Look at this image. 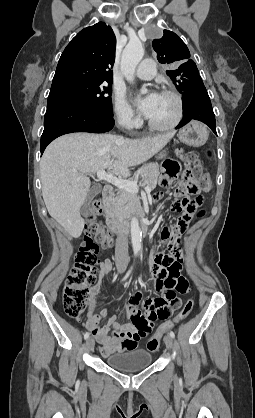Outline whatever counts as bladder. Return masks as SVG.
<instances>
[{"instance_id": "bladder-1", "label": "bladder", "mask_w": 255, "mask_h": 418, "mask_svg": "<svg viewBox=\"0 0 255 418\" xmlns=\"http://www.w3.org/2000/svg\"><path fill=\"white\" fill-rule=\"evenodd\" d=\"M151 352L137 349L108 356L105 361L111 367L122 372H134L148 367L152 363Z\"/></svg>"}]
</instances>
